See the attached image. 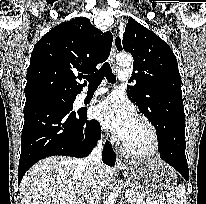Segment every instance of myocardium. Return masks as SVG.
I'll list each match as a JSON object with an SVG mask.
<instances>
[{
    "label": "myocardium",
    "instance_id": "1",
    "mask_svg": "<svg viewBox=\"0 0 206 204\" xmlns=\"http://www.w3.org/2000/svg\"><path fill=\"white\" fill-rule=\"evenodd\" d=\"M137 119L141 121L148 130L150 135L151 143L149 147L144 151H134L131 150L124 142L121 145L122 151L129 157L139 158V159H147L155 156L161 147L160 136L157 131V128L153 124V122L144 115H138Z\"/></svg>",
    "mask_w": 206,
    "mask_h": 204
}]
</instances>
